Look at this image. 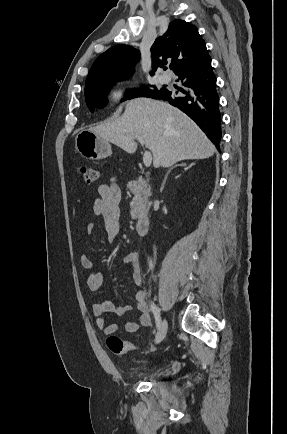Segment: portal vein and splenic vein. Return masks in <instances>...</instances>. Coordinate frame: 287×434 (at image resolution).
I'll return each instance as SVG.
<instances>
[{"label": "portal vein and splenic vein", "mask_w": 287, "mask_h": 434, "mask_svg": "<svg viewBox=\"0 0 287 434\" xmlns=\"http://www.w3.org/2000/svg\"><path fill=\"white\" fill-rule=\"evenodd\" d=\"M134 138L137 139L141 145L145 144V141L142 137L138 136V135H134ZM143 163L146 167H149L152 163V155L149 151H145L144 155H143Z\"/></svg>", "instance_id": "portal-vein-and-splenic-vein-1"}]
</instances>
